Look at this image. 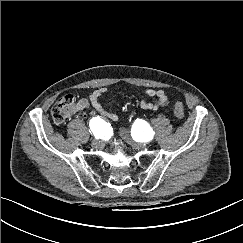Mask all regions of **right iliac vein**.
Wrapping results in <instances>:
<instances>
[{
  "label": "right iliac vein",
  "instance_id": "1",
  "mask_svg": "<svg viewBox=\"0 0 243 243\" xmlns=\"http://www.w3.org/2000/svg\"><path fill=\"white\" fill-rule=\"evenodd\" d=\"M92 145H93L94 147H98V146L100 145V140H98V139H94V140L92 141Z\"/></svg>",
  "mask_w": 243,
  "mask_h": 243
}]
</instances>
